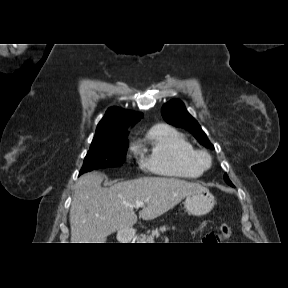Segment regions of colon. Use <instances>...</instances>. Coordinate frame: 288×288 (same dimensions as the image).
Instances as JSON below:
<instances>
[{
  "label": "colon",
  "instance_id": "obj_1",
  "mask_svg": "<svg viewBox=\"0 0 288 288\" xmlns=\"http://www.w3.org/2000/svg\"><path fill=\"white\" fill-rule=\"evenodd\" d=\"M231 235V227L228 224H222L216 234L207 237L208 242H223Z\"/></svg>",
  "mask_w": 288,
  "mask_h": 288
}]
</instances>
